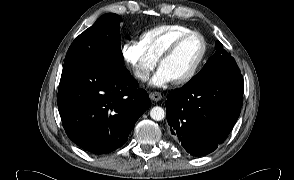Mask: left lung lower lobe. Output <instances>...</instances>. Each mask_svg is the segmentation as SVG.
Returning <instances> with one entry per match:
<instances>
[{
	"instance_id": "obj_1",
	"label": "left lung lower lobe",
	"mask_w": 294,
	"mask_h": 180,
	"mask_svg": "<svg viewBox=\"0 0 294 180\" xmlns=\"http://www.w3.org/2000/svg\"><path fill=\"white\" fill-rule=\"evenodd\" d=\"M242 75H221L186 83L167 96L171 137L194 156L213 152L236 123L243 103Z\"/></svg>"
}]
</instances>
